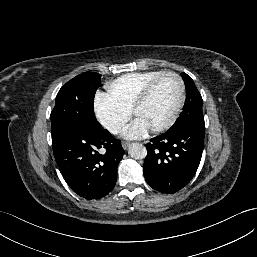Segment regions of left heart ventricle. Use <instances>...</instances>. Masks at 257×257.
Listing matches in <instances>:
<instances>
[{
  "label": "left heart ventricle",
  "mask_w": 257,
  "mask_h": 257,
  "mask_svg": "<svg viewBox=\"0 0 257 257\" xmlns=\"http://www.w3.org/2000/svg\"><path fill=\"white\" fill-rule=\"evenodd\" d=\"M179 96V85L172 76H164L154 87L147 102L136 114L150 129L160 126L171 116Z\"/></svg>",
  "instance_id": "b2bd125f"
}]
</instances>
